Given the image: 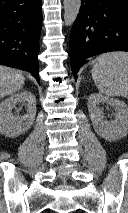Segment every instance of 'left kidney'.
<instances>
[{
  "mask_svg": "<svg viewBox=\"0 0 128 213\" xmlns=\"http://www.w3.org/2000/svg\"><path fill=\"white\" fill-rule=\"evenodd\" d=\"M108 104L115 110L114 120L108 122L99 104ZM88 111L95 132L108 141H116L128 134V106L125 102L93 93L88 97Z\"/></svg>",
  "mask_w": 128,
  "mask_h": 213,
  "instance_id": "left-kidney-1",
  "label": "left kidney"
}]
</instances>
